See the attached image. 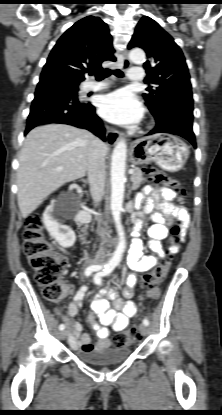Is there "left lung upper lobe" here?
<instances>
[{"label": "left lung upper lobe", "mask_w": 222, "mask_h": 415, "mask_svg": "<svg viewBox=\"0 0 222 415\" xmlns=\"http://www.w3.org/2000/svg\"><path fill=\"white\" fill-rule=\"evenodd\" d=\"M140 47L145 50L148 60L144 63L147 72L145 83L150 84L143 97L149 110L156 117L163 114L178 115L181 103L176 98L166 106V95L180 87L191 88L190 75L184 55L174 39L153 19L143 17L136 26L128 49Z\"/></svg>", "instance_id": "obj_1"}]
</instances>
